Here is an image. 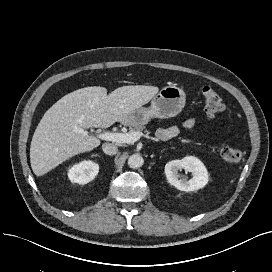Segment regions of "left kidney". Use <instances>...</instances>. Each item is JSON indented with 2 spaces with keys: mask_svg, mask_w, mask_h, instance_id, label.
Here are the masks:
<instances>
[{
  "mask_svg": "<svg viewBox=\"0 0 272 272\" xmlns=\"http://www.w3.org/2000/svg\"><path fill=\"white\" fill-rule=\"evenodd\" d=\"M184 169L191 172L188 180L178 171ZM165 174L168 182L181 191L191 192L203 188L209 180L208 171L204 164L194 156H186L181 160H172L165 165Z\"/></svg>",
  "mask_w": 272,
  "mask_h": 272,
  "instance_id": "5707ae66",
  "label": "left kidney"
}]
</instances>
